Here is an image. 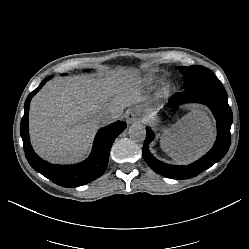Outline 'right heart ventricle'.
<instances>
[{"instance_id":"1","label":"right heart ventricle","mask_w":249,"mask_h":249,"mask_svg":"<svg viewBox=\"0 0 249 249\" xmlns=\"http://www.w3.org/2000/svg\"><path fill=\"white\" fill-rule=\"evenodd\" d=\"M157 79H158V77L153 76V77H150V78L148 79V82H149V83H152V82L156 81Z\"/></svg>"}]
</instances>
